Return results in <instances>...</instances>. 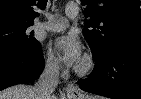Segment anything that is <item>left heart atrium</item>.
<instances>
[{
	"instance_id": "left-heart-atrium-1",
	"label": "left heart atrium",
	"mask_w": 141,
	"mask_h": 99,
	"mask_svg": "<svg viewBox=\"0 0 141 99\" xmlns=\"http://www.w3.org/2000/svg\"><path fill=\"white\" fill-rule=\"evenodd\" d=\"M56 48L62 60L69 66H76L82 60L83 48L80 40L73 34L57 39Z\"/></svg>"
}]
</instances>
